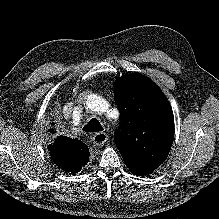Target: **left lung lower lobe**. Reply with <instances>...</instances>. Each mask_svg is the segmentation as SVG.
<instances>
[{"instance_id":"obj_1","label":"left lung lower lobe","mask_w":219,"mask_h":219,"mask_svg":"<svg viewBox=\"0 0 219 219\" xmlns=\"http://www.w3.org/2000/svg\"><path fill=\"white\" fill-rule=\"evenodd\" d=\"M153 171H139V172H133V174L137 176H145L151 174Z\"/></svg>"}]
</instances>
